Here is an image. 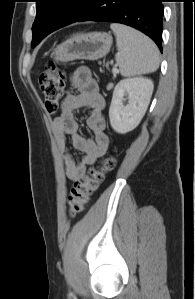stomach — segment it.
<instances>
[{
    "instance_id": "0dacf381",
    "label": "stomach",
    "mask_w": 195,
    "mask_h": 299,
    "mask_svg": "<svg viewBox=\"0 0 195 299\" xmlns=\"http://www.w3.org/2000/svg\"><path fill=\"white\" fill-rule=\"evenodd\" d=\"M111 46L112 37L108 33H79L58 45L51 57L59 62L78 59L98 60L108 54Z\"/></svg>"
}]
</instances>
